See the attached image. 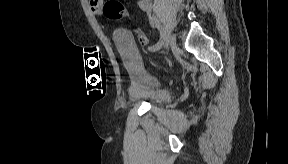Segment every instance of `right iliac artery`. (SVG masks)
Segmentation results:
<instances>
[{"instance_id": "right-iliac-artery-1", "label": "right iliac artery", "mask_w": 288, "mask_h": 164, "mask_svg": "<svg viewBox=\"0 0 288 164\" xmlns=\"http://www.w3.org/2000/svg\"><path fill=\"white\" fill-rule=\"evenodd\" d=\"M155 27L159 31L160 38H159V41L156 44L148 47V50L150 52L158 51L162 47V44H163V42H162V32H161V29H160V25L155 22Z\"/></svg>"}]
</instances>
